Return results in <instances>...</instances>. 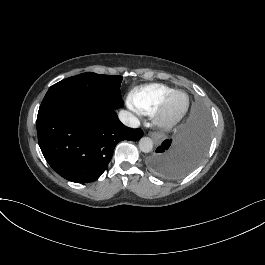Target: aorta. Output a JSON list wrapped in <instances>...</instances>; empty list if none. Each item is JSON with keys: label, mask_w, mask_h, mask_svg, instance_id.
I'll return each mask as SVG.
<instances>
[{"label": "aorta", "mask_w": 265, "mask_h": 265, "mask_svg": "<svg viewBox=\"0 0 265 265\" xmlns=\"http://www.w3.org/2000/svg\"><path fill=\"white\" fill-rule=\"evenodd\" d=\"M153 148V141L149 137H143L139 141V149L144 153H149Z\"/></svg>", "instance_id": "1"}]
</instances>
